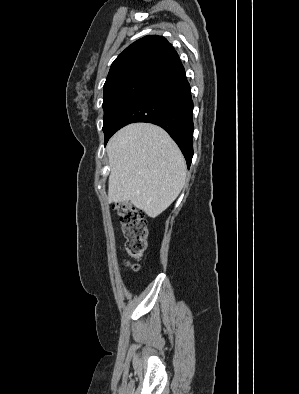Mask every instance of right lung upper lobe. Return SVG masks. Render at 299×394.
<instances>
[{"instance_id":"right-lung-upper-lobe-1","label":"right lung upper lobe","mask_w":299,"mask_h":394,"mask_svg":"<svg viewBox=\"0 0 299 394\" xmlns=\"http://www.w3.org/2000/svg\"><path fill=\"white\" fill-rule=\"evenodd\" d=\"M181 65L177 52L164 37L145 36L128 46L114 60L104 92L126 84L151 86Z\"/></svg>"}]
</instances>
